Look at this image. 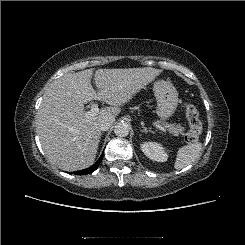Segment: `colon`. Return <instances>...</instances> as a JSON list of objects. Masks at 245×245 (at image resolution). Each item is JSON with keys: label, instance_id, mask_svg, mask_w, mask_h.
I'll use <instances>...</instances> for the list:
<instances>
[{"label": "colon", "instance_id": "obj_1", "mask_svg": "<svg viewBox=\"0 0 245 245\" xmlns=\"http://www.w3.org/2000/svg\"><path fill=\"white\" fill-rule=\"evenodd\" d=\"M183 107L189 124V129L186 132L185 140L187 142H195L199 139L202 131V123L199 117V112L191 103H185Z\"/></svg>", "mask_w": 245, "mask_h": 245}]
</instances>
